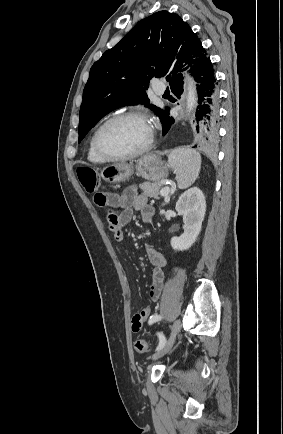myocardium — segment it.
I'll use <instances>...</instances> for the list:
<instances>
[{
    "label": "myocardium",
    "instance_id": "myocardium-1",
    "mask_svg": "<svg viewBox=\"0 0 283 434\" xmlns=\"http://www.w3.org/2000/svg\"><path fill=\"white\" fill-rule=\"evenodd\" d=\"M128 118L141 119V120H143L149 124L150 135H149V139H148L147 143L141 149H139L135 152H132V153H128V154L116 155V154H112V153L108 152L102 146L101 134L110 124H112L116 121L128 119ZM154 139H155L154 130H153L149 116L142 111L131 110V111H126V112L115 114V115L111 116L110 118H108L107 120H105L96 129V131L93 134V145H94L96 152L106 161H123V160H129V159L139 157V156L147 153L148 151H150L151 148L153 147Z\"/></svg>",
    "mask_w": 283,
    "mask_h": 434
}]
</instances>
